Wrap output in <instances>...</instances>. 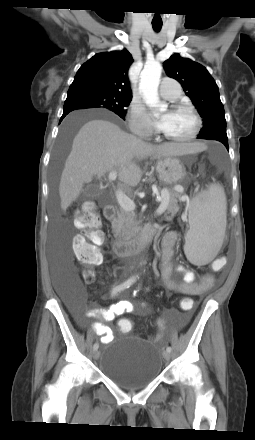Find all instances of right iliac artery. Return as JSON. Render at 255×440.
<instances>
[{
    "instance_id": "1",
    "label": "right iliac artery",
    "mask_w": 255,
    "mask_h": 440,
    "mask_svg": "<svg viewBox=\"0 0 255 440\" xmlns=\"http://www.w3.org/2000/svg\"><path fill=\"white\" fill-rule=\"evenodd\" d=\"M138 276H132L131 278H129L127 281H125L124 283L115 286L112 289L111 295L115 296L116 294L120 293L121 291L125 290L126 288H129L132 284H134L137 280ZM99 347L98 343H95L93 345V349L97 350Z\"/></svg>"
}]
</instances>
